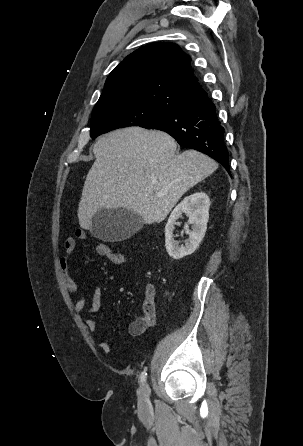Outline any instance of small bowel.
I'll list each match as a JSON object with an SVG mask.
<instances>
[{
    "mask_svg": "<svg viewBox=\"0 0 303 446\" xmlns=\"http://www.w3.org/2000/svg\"><path fill=\"white\" fill-rule=\"evenodd\" d=\"M87 234L83 229H78L75 232V237H68L65 239L63 244V249L65 255L60 260V267L62 272V277L64 284L67 290L71 293H75L78 289L77 283L72 279L69 272V261L70 257L75 251L76 248V239L86 240ZM100 243L95 245V251L98 253L100 249ZM86 296L81 295L74 304V309L78 314H89L94 313L99 310L101 306V288L99 286H95L91 303L89 306L86 305ZM156 322V309L154 302V290L149 287L146 290L145 300L142 305L141 314L135 320H133L128 328L130 335L132 336H140L143 334L148 328L152 327ZM87 328L91 332H95L98 329L97 323L94 320H87L86 322ZM100 349L109 353L112 349V346L109 342L103 341L99 344Z\"/></svg>",
    "mask_w": 303,
    "mask_h": 446,
    "instance_id": "c3829d8e",
    "label": "small bowel"
}]
</instances>
